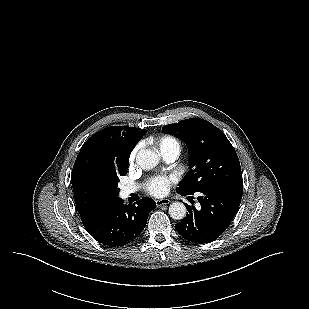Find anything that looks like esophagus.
Masks as SVG:
<instances>
[{
  "mask_svg": "<svg viewBox=\"0 0 309 309\" xmlns=\"http://www.w3.org/2000/svg\"><path fill=\"white\" fill-rule=\"evenodd\" d=\"M171 201L169 199H157L155 200L156 206L160 207L162 205H167L169 204Z\"/></svg>",
  "mask_w": 309,
  "mask_h": 309,
  "instance_id": "34e87169",
  "label": "esophagus"
}]
</instances>
